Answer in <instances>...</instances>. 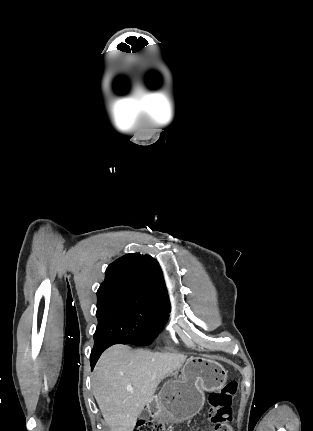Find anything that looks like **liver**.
<instances>
[{
  "mask_svg": "<svg viewBox=\"0 0 313 431\" xmlns=\"http://www.w3.org/2000/svg\"><path fill=\"white\" fill-rule=\"evenodd\" d=\"M186 358L184 354L132 350L121 344L108 348L96 364L92 386L111 431H133L160 382L177 374ZM128 386L133 388L132 393Z\"/></svg>",
  "mask_w": 313,
  "mask_h": 431,
  "instance_id": "obj_1",
  "label": "liver"
}]
</instances>
